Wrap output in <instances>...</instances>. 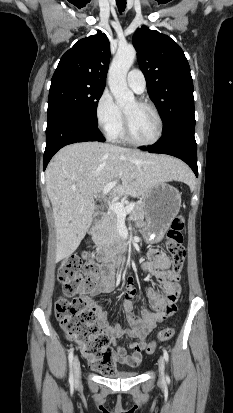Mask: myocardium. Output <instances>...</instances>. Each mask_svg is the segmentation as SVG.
Masks as SVG:
<instances>
[{"mask_svg":"<svg viewBox=\"0 0 233 413\" xmlns=\"http://www.w3.org/2000/svg\"><path fill=\"white\" fill-rule=\"evenodd\" d=\"M136 103L140 106H144V107H147V108L152 110V112L154 113V115L157 119V122H158V131H157V134H156L155 138L151 141L142 142V141L136 140L133 137L132 133H131L128 116L125 112H123V126H124L125 139L130 144L135 145V146H139V147H148V146L155 145L156 143H158L162 139V136H163V133H164L163 118H162L158 108L153 103H151L147 100H137Z\"/></svg>","mask_w":233,"mask_h":413,"instance_id":"f54148a6","label":"myocardium"}]
</instances>
